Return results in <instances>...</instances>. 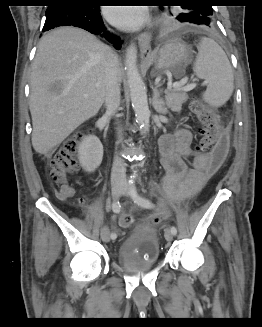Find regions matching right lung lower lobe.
Listing matches in <instances>:
<instances>
[{
	"mask_svg": "<svg viewBox=\"0 0 262 327\" xmlns=\"http://www.w3.org/2000/svg\"><path fill=\"white\" fill-rule=\"evenodd\" d=\"M46 10V21L43 32L60 26H75L85 29L92 34H100L121 48L122 41L108 31H105L100 15V6L82 5L77 0H56Z\"/></svg>",
	"mask_w": 262,
	"mask_h": 327,
	"instance_id": "98d812e1",
	"label": "right lung lower lobe"
}]
</instances>
